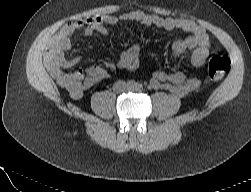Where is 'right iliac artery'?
I'll return each instance as SVG.
<instances>
[{
    "mask_svg": "<svg viewBox=\"0 0 251 192\" xmlns=\"http://www.w3.org/2000/svg\"><path fill=\"white\" fill-rule=\"evenodd\" d=\"M128 86H130V87H135L136 86V83L134 82V81H129L128 82Z\"/></svg>",
    "mask_w": 251,
    "mask_h": 192,
    "instance_id": "82829eb1",
    "label": "right iliac artery"
}]
</instances>
